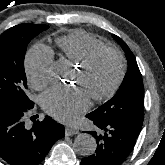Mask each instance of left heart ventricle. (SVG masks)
Listing matches in <instances>:
<instances>
[{
	"label": "left heart ventricle",
	"mask_w": 165,
	"mask_h": 165,
	"mask_svg": "<svg viewBox=\"0 0 165 165\" xmlns=\"http://www.w3.org/2000/svg\"><path fill=\"white\" fill-rule=\"evenodd\" d=\"M118 72V58L106 52L101 54L86 71L78 69L74 82L92 97L106 92L116 80Z\"/></svg>",
	"instance_id": "b2bd125f"
}]
</instances>
